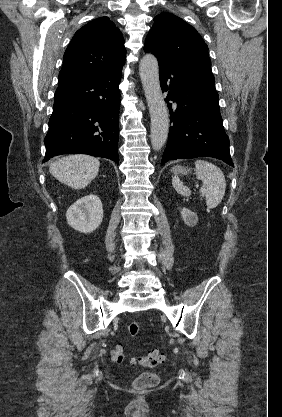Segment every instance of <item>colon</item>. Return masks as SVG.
<instances>
[{
	"label": "colon",
	"mask_w": 282,
	"mask_h": 417,
	"mask_svg": "<svg viewBox=\"0 0 282 417\" xmlns=\"http://www.w3.org/2000/svg\"><path fill=\"white\" fill-rule=\"evenodd\" d=\"M140 328L141 327L137 322H130L128 324V331L132 337H136L139 335ZM124 352L125 345L122 342L117 341L110 352L112 362L115 364L123 363L125 358ZM159 352L160 349L157 346H154L151 349V352H147L145 355L140 357L137 360V363L147 368L157 367L162 360V356L159 354ZM157 381L158 375L156 373H143L135 379L134 384L136 387L139 388H150L155 386L157 384Z\"/></svg>",
	"instance_id": "5ec220e1"
}]
</instances>
